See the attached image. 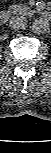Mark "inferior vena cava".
<instances>
[{"label":"inferior vena cava","mask_w":51,"mask_h":153,"mask_svg":"<svg viewBox=\"0 0 51 153\" xmlns=\"http://www.w3.org/2000/svg\"><path fill=\"white\" fill-rule=\"evenodd\" d=\"M9 24L14 29H23L27 25V18L24 16L11 17Z\"/></svg>","instance_id":"obj_1"}]
</instances>
